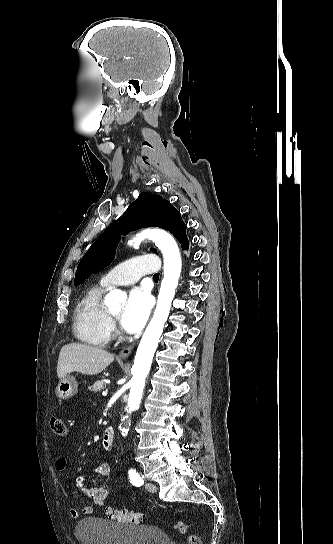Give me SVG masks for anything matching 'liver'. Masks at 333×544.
Listing matches in <instances>:
<instances>
[{"label": "liver", "mask_w": 333, "mask_h": 544, "mask_svg": "<svg viewBox=\"0 0 333 544\" xmlns=\"http://www.w3.org/2000/svg\"><path fill=\"white\" fill-rule=\"evenodd\" d=\"M113 361L114 355L104 349L87 344L69 343L60 350L57 375L60 379L74 371L85 375H96Z\"/></svg>", "instance_id": "liver-1"}]
</instances>
